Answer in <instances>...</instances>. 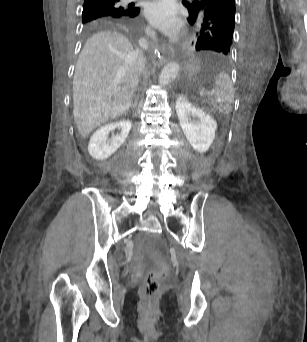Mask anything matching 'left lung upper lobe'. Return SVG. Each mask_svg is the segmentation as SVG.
Returning <instances> with one entry per match:
<instances>
[{"label": "left lung upper lobe", "mask_w": 307, "mask_h": 342, "mask_svg": "<svg viewBox=\"0 0 307 342\" xmlns=\"http://www.w3.org/2000/svg\"><path fill=\"white\" fill-rule=\"evenodd\" d=\"M183 4L189 11V22L197 28L196 50L230 55L235 27L234 0H191Z\"/></svg>", "instance_id": "left-lung-upper-lobe-1"}]
</instances>
